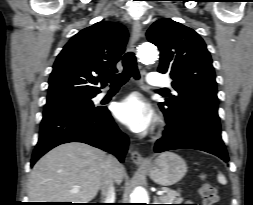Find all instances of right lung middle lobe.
<instances>
[{
    "label": "right lung middle lobe",
    "instance_id": "dd1d6c3e",
    "mask_svg": "<svg viewBox=\"0 0 253 205\" xmlns=\"http://www.w3.org/2000/svg\"><path fill=\"white\" fill-rule=\"evenodd\" d=\"M94 96L63 98L46 103L44 112L51 110L73 109L84 112H92L100 109L94 107L92 98Z\"/></svg>",
    "mask_w": 253,
    "mask_h": 205
}]
</instances>
